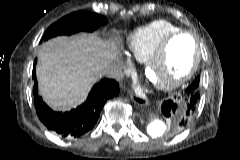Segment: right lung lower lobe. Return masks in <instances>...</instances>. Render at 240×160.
<instances>
[{"instance_id": "1", "label": "right lung lower lobe", "mask_w": 240, "mask_h": 160, "mask_svg": "<svg viewBox=\"0 0 240 160\" xmlns=\"http://www.w3.org/2000/svg\"><path fill=\"white\" fill-rule=\"evenodd\" d=\"M33 77L35 80L34 105L37 115L50 131L63 138L81 137L91 130L97 123L105 102L119 94L118 83L115 80L103 79L93 86L86 102L82 105L70 112H55L43 102L38 94L35 70H33Z\"/></svg>"}]
</instances>
